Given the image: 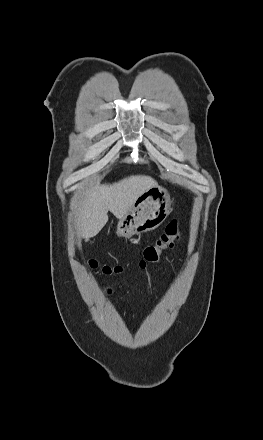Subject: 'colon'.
<instances>
[{
    "mask_svg": "<svg viewBox=\"0 0 263 440\" xmlns=\"http://www.w3.org/2000/svg\"><path fill=\"white\" fill-rule=\"evenodd\" d=\"M179 240V224L177 220H172L166 227L164 233L153 245L147 246L143 251V256L139 261V267L149 268L159 263L161 256L172 249ZM92 267H97L95 261H90ZM123 267L105 265L101 267V272L106 276H113L122 273Z\"/></svg>",
    "mask_w": 263,
    "mask_h": 440,
    "instance_id": "1",
    "label": "colon"
}]
</instances>
